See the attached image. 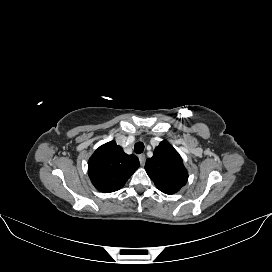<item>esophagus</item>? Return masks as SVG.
Instances as JSON below:
<instances>
[{"mask_svg":"<svg viewBox=\"0 0 272 272\" xmlns=\"http://www.w3.org/2000/svg\"><path fill=\"white\" fill-rule=\"evenodd\" d=\"M138 158H139V161H140L141 166H143L144 163H145V159H146L145 155H144V154H140V155L138 156Z\"/></svg>","mask_w":272,"mask_h":272,"instance_id":"obj_1","label":"esophagus"}]
</instances>
